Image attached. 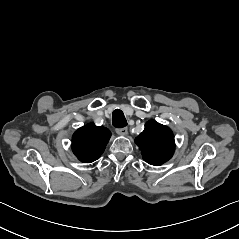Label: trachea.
Returning a JSON list of instances; mask_svg holds the SVG:
<instances>
[{"label": "trachea", "mask_w": 239, "mask_h": 239, "mask_svg": "<svg viewBox=\"0 0 239 239\" xmlns=\"http://www.w3.org/2000/svg\"><path fill=\"white\" fill-rule=\"evenodd\" d=\"M112 124L116 128H123L127 126L126 118L120 109L113 111Z\"/></svg>", "instance_id": "3493384b"}]
</instances>
